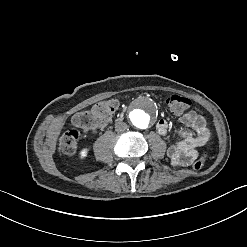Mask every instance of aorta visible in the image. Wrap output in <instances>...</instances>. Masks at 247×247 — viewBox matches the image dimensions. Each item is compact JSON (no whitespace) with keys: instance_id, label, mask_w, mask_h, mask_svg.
I'll use <instances>...</instances> for the list:
<instances>
[{"instance_id":"obj_1","label":"aorta","mask_w":247,"mask_h":247,"mask_svg":"<svg viewBox=\"0 0 247 247\" xmlns=\"http://www.w3.org/2000/svg\"><path fill=\"white\" fill-rule=\"evenodd\" d=\"M149 118L143 112H139L136 116L133 117V124L141 129L147 128Z\"/></svg>"}]
</instances>
